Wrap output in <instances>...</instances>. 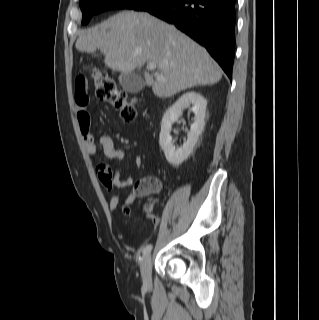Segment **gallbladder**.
<instances>
[{
    "instance_id": "obj_1",
    "label": "gallbladder",
    "mask_w": 319,
    "mask_h": 320,
    "mask_svg": "<svg viewBox=\"0 0 319 320\" xmlns=\"http://www.w3.org/2000/svg\"><path fill=\"white\" fill-rule=\"evenodd\" d=\"M119 83L123 90L129 93L140 92L144 88V81L137 73H122L119 77Z\"/></svg>"
}]
</instances>
